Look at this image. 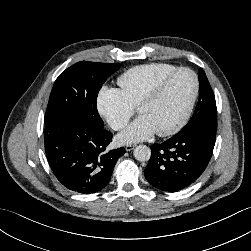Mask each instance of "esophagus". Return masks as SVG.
Returning <instances> with one entry per match:
<instances>
[{
  "mask_svg": "<svg viewBox=\"0 0 251 251\" xmlns=\"http://www.w3.org/2000/svg\"><path fill=\"white\" fill-rule=\"evenodd\" d=\"M134 147H135L134 144H128V145L125 146V150H126L127 152H129V151L133 150Z\"/></svg>",
  "mask_w": 251,
  "mask_h": 251,
  "instance_id": "obj_1",
  "label": "esophagus"
}]
</instances>
